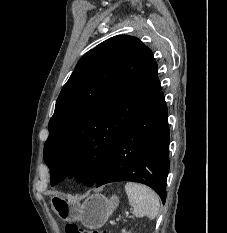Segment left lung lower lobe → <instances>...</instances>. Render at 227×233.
I'll return each mask as SVG.
<instances>
[{"label":"left lung lower lobe","mask_w":227,"mask_h":233,"mask_svg":"<svg viewBox=\"0 0 227 233\" xmlns=\"http://www.w3.org/2000/svg\"><path fill=\"white\" fill-rule=\"evenodd\" d=\"M168 110L162 92L125 128L96 187L133 181L153 188L163 204L169 162Z\"/></svg>","instance_id":"left-lung-lower-lobe-1"}]
</instances>
